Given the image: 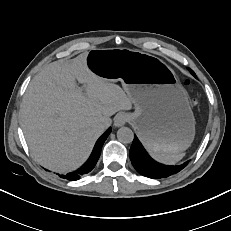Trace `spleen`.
I'll return each mask as SVG.
<instances>
[{
	"mask_svg": "<svg viewBox=\"0 0 231 231\" xmlns=\"http://www.w3.org/2000/svg\"><path fill=\"white\" fill-rule=\"evenodd\" d=\"M184 153L180 154H165V153H154L152 152L153 158H155L157 161L164 163V164H169V165H174L178 161H180L184 157Z\"/></svg>",
	"mask_w": 231,
	"mask_h": 231,
	"instance_id": "3e777b00",
	"label": "spleen"
}]
</instances>
